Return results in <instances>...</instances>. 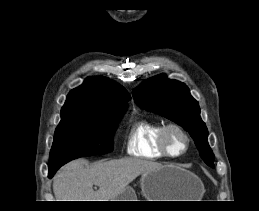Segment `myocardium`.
I'll return each mask as SVG.
<instances>
[{
    "label": "myocardium",
    "instance_id": "obj_1",
    "mask_svg": "<svg viewBox=\"0 0 259 211\" xmlns=\"http://www.w3.org/2000/svg\"><path fill=\"white\" fill-rule=\"evenodd\" d=\"M177 132L181 138L183 139V147L179 152H173L168 143V135L170 132ZM190 145V137L186 130L175 123L166 124L162 127L160 134H159V147L162 152L170 158H178L184 155Z\"/></svg>",
    "mask_w": 259,
    "mask_h": 211
}]
</instances>
